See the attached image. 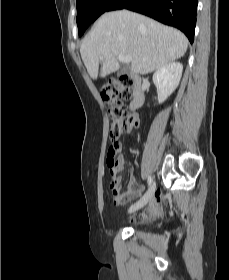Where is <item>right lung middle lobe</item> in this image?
Segmentation results:
<instances>
[{
  "label": "right lung middle lobe",
  "mask_w": 229,
  "mask_h": 280,
  "mask_svg": "<svg viewBox=\"0 0 229 280\" xmlns=\"http://www.w3.org/2000/svg\"><path fill=\"white\" fill-rule=\"evenodd\" d=\"M116 0H77V26L79 36L101 14L109 11Z\"/></svg>",
  "instance_id": "dd1d6c3e"
}]
</instances>
